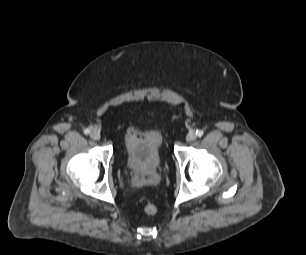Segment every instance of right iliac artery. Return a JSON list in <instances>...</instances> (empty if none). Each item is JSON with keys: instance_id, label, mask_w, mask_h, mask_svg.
Instances as JSON below:
<instances>
[{"instance_id": "1", "label": "right iliac artery", "mask_w": 306, "mask_h": 255, "mask_svg": "<svg viewBox=\"0 0 306 255\" xmlns=\"http://www.w3.org/2000/svg\"><path fill=\"white\" fill-rule=\"evenodd\" d=\"M84 133H85L86 135H88V134L90 133V130H89V129H85V130H84Z\"/></svg>"}]
</instances>
